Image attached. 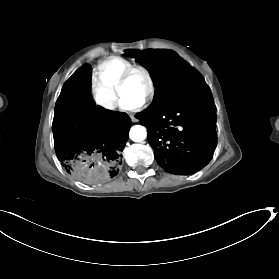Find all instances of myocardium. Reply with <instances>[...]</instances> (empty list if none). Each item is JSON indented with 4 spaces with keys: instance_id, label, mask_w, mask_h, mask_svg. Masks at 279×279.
<instances>
[{
    "instance_id": "1",
    "label": "myocardium",
    "mask_w": 279,
    "mask_h": 279,
    "mask_svg": "<svg viewBox=\"0 0 279 279\" xmlns=\"http://www.w3.org/2000/svg\"><path fill=\"white\" fill-rule=\"evenodd\" d=\"M135 73H140V74L144 75L148 82V91H147V94H146L144 100L142 101V104L144 105V104L150 102L155 95V81H154V78H153L152 74L150 73V71L143 66L132 65V66L126 68L122 72L121 76L119 77L118 84H117V94L119 95V97H121L124 87L127 85L130 78Z\"/></svg>"
}]
</instances>
